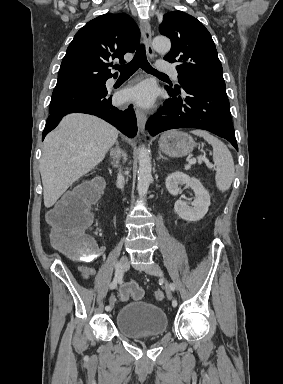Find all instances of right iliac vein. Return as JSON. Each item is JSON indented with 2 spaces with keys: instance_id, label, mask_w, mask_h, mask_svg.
I'll return each mask as SVG.
<instances>
[{
  "instance_id": "obj_1",
  "label": "right iliac vein",
  "mask_w": 283,
  "mask_h": 384,
  "mask_svg": "<svg viewBox=\"0 0 283 384\" xmlns=\"http://www.w3.org/2000/svg\"><path fill=\"white\" fill-rule=\"evenodd\" d=\"M120 267L122 268L123 271L127 270L128 267H129V261H128V257L126 255H123L120 259ZM114 306V300L111 301V307L108 311H111V309L113 308Z\"/></svg>"
}]
</instances>
